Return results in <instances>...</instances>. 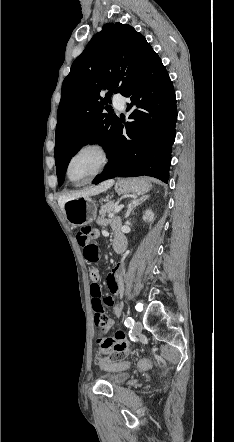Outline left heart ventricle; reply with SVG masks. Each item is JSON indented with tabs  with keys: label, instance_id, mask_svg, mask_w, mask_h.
Returning <instances> with one entry per match:
<instances>
[{
	"label": "left heart ventricle",
	"instance_id": "left-heart-ventricle-1",
	"mask_svg": "<svg viewBox=\"0 0 234 442\" xmlns=\"http://www.w3.org/2000/svg\"><path fill=\"white\" fill-rule=\"evenodd\" d=\"M100 155L95 150H84L77 154L70 164V176L76 182L87 179L96 170Z\"/></svg>",
	"mask_w": 234,
	"mask_h": 442
}]
</instances>
